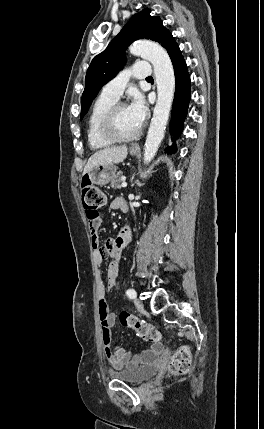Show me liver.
<instances>
[{"mask_svg": "<svg viewBox=\"0 0 264 429\" xmlns=\"http://www.w3.org/2000/svg\"><path fill=\"white\" fill-rule=\"evenodd\" d=\"M127 146L106 148L94 153L88 160L83 170V175L90 172L98 165L118 164L127 157Z\"/></svg>", "mask_w": 264, "mask_h": 429, "instance_id": "1", "label": "liver"}]
</instances>
